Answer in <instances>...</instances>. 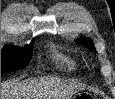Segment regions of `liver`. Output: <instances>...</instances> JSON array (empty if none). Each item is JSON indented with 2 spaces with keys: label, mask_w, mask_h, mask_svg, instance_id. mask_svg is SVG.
Wrapping results in <instances>:
<instances>
[{
  "label": "liver",
  "mask_w": 115,
  "mask_h": 99,
  "mask_svg": "<svg viewBox=\"0 0 115 99\" xmlns=\"http://www.w3.org/2000/svg\"><path fill=\"white\" fill-rule=\"evenodd\" d=\"M78 89L56 78H31L1 85V99H69Z\"/></svg>",
  "instance_id": "6515ba94"
}]
</instances>
